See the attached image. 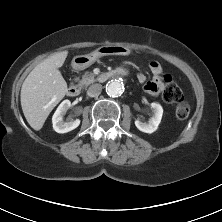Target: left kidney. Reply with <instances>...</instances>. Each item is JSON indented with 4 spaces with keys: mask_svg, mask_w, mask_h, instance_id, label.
I'll return each instance as SVG.
<instances>
[{
    "mask_svg": "<svg viewBox=\"0 0 222 222\" xmlns=\"http://www.w3.org/2000/svg\"><path fill=\"white\" fill-rule=\"evenodd\" d=\"M151 109L153 111V116L148 122H141L139 120L135 121V126L142 132L153 133L158 128L163 115V108L159 103H151Z\"/></svg>",
    "mask_w": 222,
    "mask_h": 222,
    "instance_id": "1",
    "label": "left kidney"
}]
</instances>
